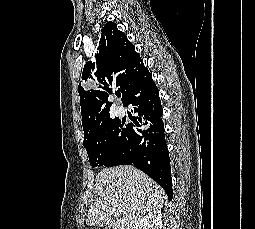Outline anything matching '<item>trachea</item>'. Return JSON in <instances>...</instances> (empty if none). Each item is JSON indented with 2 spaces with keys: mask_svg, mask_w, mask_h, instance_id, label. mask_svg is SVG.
I'll return each mask as SVG.
<instances>
[{
  "mask_svg": "<svg viewBox=\"0 0 255 229\" xmlns=\"http://www.w3.org/2000/svg\"><path fill=\"white\" fill-rule=\"evenodd\" d=\"M117 97H120V92L116 93Z\"/></svg>",
  "mask_w": 255,
  "mask_h": 229,
  "instance_id": "3493384b",
  "label": "trachea"
}]
</instances>
